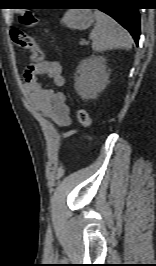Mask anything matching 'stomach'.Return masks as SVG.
Segmentation results:
<instances>
[{"label":"stomach","mask_w":156,"mask_h":266,"mask_svg":"<svg viewBox=\"0 0 156 266\" xmlns=\"http://www.w3.org/2000/svg\"><path fill=\"white\" fill-rule=\"evenodd\" d=\"M62 23L71 29L85 30L93 23V14L90 10H68Z\"/></svg>","instance_id":"1"}]
</instances>
